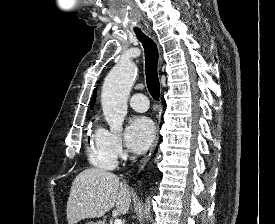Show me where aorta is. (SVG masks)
<instances>
[{"label": "aorta", "mask_w": 275, "mask_h": 224, "mask_svg": "<svg viewBox=\"0 0 275 224\" xmlns=\"http://www.w3.org/2000/svg\"><path fill=\"white\" fill-rule=\"evenodd\" d=\"M137 75V66L133 62L121 61L114 66L105 78L101 93L104 117L110 131L119 133L127 114V101ZM148 217L149 198L145 205Z\"/></svg>", "instance_id": "obj_1"}]
</instances>
